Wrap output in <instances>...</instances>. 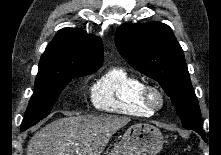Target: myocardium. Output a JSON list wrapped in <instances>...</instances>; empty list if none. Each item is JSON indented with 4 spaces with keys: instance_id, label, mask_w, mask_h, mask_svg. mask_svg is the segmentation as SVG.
<instances>
[{
    "instance_id": "1",
    "label": "myocardium",
    "mask_w": 221,
    "mask_h": 155,
    "mask_svg": "<svg viewBox=\"0 0 221 155\" xmlns=\"http://www.w3.org/2000/svg\"><path fill=\"white\" fill-rule=\"evenodd\" d=\"M142 101L150 110L158 111L162 109L165 104V96L158 87L145 85L142 91Z\"/></svg>"
}]
</instances>
